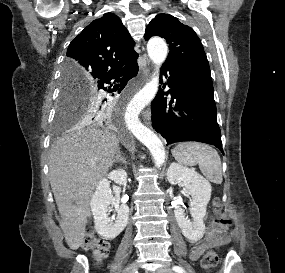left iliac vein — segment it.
Returning <instances> with one entry per match:
<instances>
[{
  "label": "left iliac vein",
  "mask_w": 285,
  "mask_h": 273,
  "mask_svg": "<svg viewBox=\"0 0 285 273\" xmlns=\"http://www.w3.org/2000/svg\"><path fill=\"white\" fill-rule=\"evenodd\" d=\"M156 273H173L169 267H162L157 270Z\"/></svg>",
  "instance_id": "4c4485c4"
}]
</instances>
